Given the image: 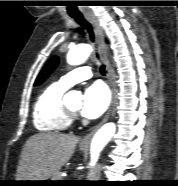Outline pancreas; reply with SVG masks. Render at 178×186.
<instances>
[{"mask_svg":"<svg viewBox=\"0 0 178 186\" xmlns=\"http://www.w3.org/2000/svg\"><path fill=\"white\" fill-rule=\"evenodd\" d=\"M52 180H54V181H61L62 180L61 174L60 173H55L53 175V179Z\"/></svg>","mask_w":178,"mask_h":186,"instance_id":"1","label":"pancreas"}]
</instances>
